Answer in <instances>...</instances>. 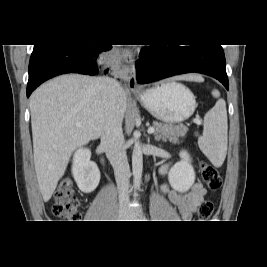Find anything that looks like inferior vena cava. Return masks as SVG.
Here are the masks:
<instances>
[{
    "label": "inferior vena cava",
    "mask_w": 267,
    "mask_h": 267,
    "mask_svg": "<svg viewBox=\"0 0 267 267\" xmlns=\"http://www.w3.org/2000/svg\"><path fill=\"white\" fill-rule=\"evenodd\" d=\"M102 86L107 94L106 115L101 134V146L114 169L118 188L119 207L127 208L129 202L130 168L123 146L122 116L117 106L120 84L115 79L102 78Z\"/></svg>",
    "instance_id": "obj_1"
}]
</instances>
